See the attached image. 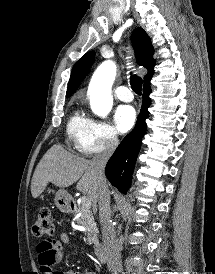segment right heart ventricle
I'll list each match as a JSON object with an SVG mask.
<instances>
[{
	"mask_svg": "<svg viewBox=\"0 0 215 274\" xmlns=\"http://www.w3.org/2000/svg\"><path fill=\"white\" fill-rule=\"evenodd\" d=\"M90 125V119L79 110H75L67 123L68 137L77 146L86 135Z\"/></svg>",
	"mask_w": 215,
	"mask_h": 274,
	"instance_id": "right-heart-ventricle-1",
	"label": "right heart ventricle"
}]
</instances>
